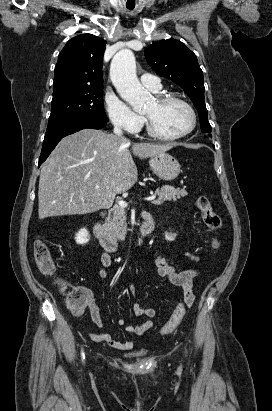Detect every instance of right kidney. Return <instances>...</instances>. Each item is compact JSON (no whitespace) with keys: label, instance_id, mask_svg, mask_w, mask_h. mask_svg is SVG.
I'll list each match as a JSON object with an SVG mask.
<instances>
[{"label":"right kidney","instance_id":"right-kidney-1","mask_svg":"<svg viewBox=\"0 0 272 411\" xmlns=\"http://www.w3.org/2000/svg\"><path fill=\"white\" fill-rule=\"evenodd\" d=\"M89 237L90 236L88 231L85 228H83L79 230L78 233H76L75 240L77 244L84 245L89 241Z\"/></svg>","mask_w":272,"mask_h":411}]
</instances>
